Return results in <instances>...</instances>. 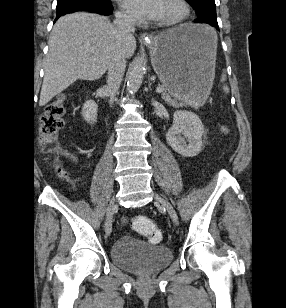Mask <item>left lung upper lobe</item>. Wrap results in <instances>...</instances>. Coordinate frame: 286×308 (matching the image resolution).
Wrapping results in <instances>:
<instances>
[{
  "mask_svg": "<svg viewBox=\"0 0 286 308\" xmlns=\"http://www.w3.org/2000/svg\"><path fill=\"white\" fill-rule=\"evenodd\" d=\"M195 10L196 14H200L206 10H216L214 0H186Z\"/></svg>",
  "mask_w": 286,
  "mask_h": 308,
  "instance_id": "5c2ea615",
  "label": "left lung upper lobe"
}]
</instances>
